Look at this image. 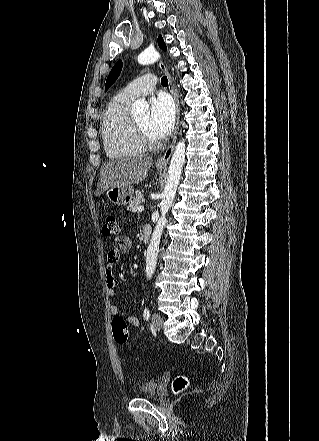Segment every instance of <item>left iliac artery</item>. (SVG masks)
Here are the masks:
<instances>
[{
    "label": "left iliac artery",
    "instance_id": "obj_1",
    "mask_svg": "<svg viewBox=\"0 0 319 441\" xmlns=\"http://www.w3.org/2000/svg\"><path fill=\"white\" fill-rule=\"evenodd\" d=\"M143 317H144L145 320H149L150 319V311H149L148 308L144 309Z\"/></svg>",
    "mask_w": 319,
    "mask_h": 441
}]
</instances>
